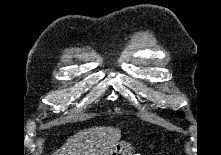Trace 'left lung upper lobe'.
I'll list each match as a JSON object with an SVG mask.
<instances>
[{
    "label": "left lung upper lobe",
    "mask_w": 221,
    "mask_h": 155,
    "mask_svg": "<svg viewBox=\"0 0 221 155\" xmlns=\"http://www.w3.org/2000/svg\"><path fill=\"white\" fill-rule=\"evenodd\" d=\"M177 115H179L180 117H182V116H183V113H177Z\"/></svg>",
    "instance_id": "5c2ea615"
}]
</instances>
